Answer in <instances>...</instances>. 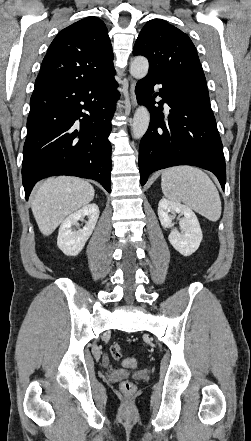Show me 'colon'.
Masks as SVG:
<instances>
[{"instance_id":"obj_1","label":"colon","mask_w":251,"mask_h":441,"mask_svg":"<svg viewBox=\"0 0 251 441\" xmlns=\"http://www.w3.org/2000/svg\"><path fill=\"white\" fill-rule=\"evenodd\" d=\"M109 351H110L111 356L114 359H116V360L121 359L122 351H121V346L118 343H113L112 345H110ZM123 364L125 366L134 367L136 365V360L134 358H127L123 361ZM120 389L124 393L131 394L135 391L136 387H135L134 383H132L131 381H123L120 384Z\"/></svg>"}]
</instances>
